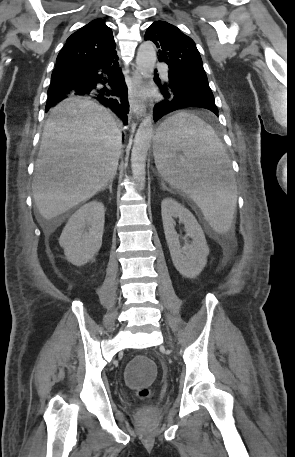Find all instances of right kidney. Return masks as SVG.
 I'll list each match as a JSON object with an SVG mask.
<instances>
[{"instance_id":"right-kidney-1","label":"right kidney","mask_w":295,"mask_h":457,"mask_svg":"<svg viewBox=\"0 0 295 457\" xmlns=\"http://www.w3.org/2000/svg\"><path fill=\"white\" fill-rule=\"evenodd\" d=\"M105 209L99 201L80 207L68 220L59 239L66 259L81 266L94 259L102 245Z\"/></svg>"}]
</instances>
